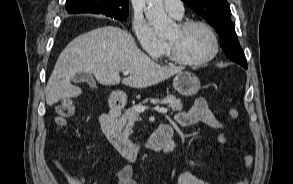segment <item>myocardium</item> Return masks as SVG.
Masks as SVG:
<instances>
[{
    "label": "myocardium",
    "mask_w": 293,
    "mask_h": 184,
    "mask_svg": "<svg viewBox=\"0 0 293 184\" xmlns=\"http://www.w3.org/2000/svg\"><path fill=\"white\" fill-rule=\"evenodd\" d=\"M195 26L203 27L210 34V36L212 38V42H213V47H212L211 52L207 56H205L201 59L189 60V59L183 58L177 52L175 46L171 42L167 41L168 57L173 62L181 64V65H186V66H200V65H203L205 63L210 62L219 53V48H220L219 38H218V35H217L215 29L209 23L202 21V20H188V21H183L177 25V27L179 28L180 31H186V30H188L192 27H195Z\"/></svg>",
    "instance_id": "myocardium-1"
}]
</instances>
